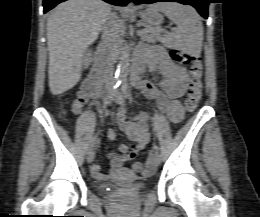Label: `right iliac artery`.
<instances>
[{
	"instance_id": "right-iliac-artery-1",
	"label": "right iliac artery",
	"mask_w": 260,
	"mask_h": 217,
	"mask_svg": "<svg viewBox=\"0 0 260 217\" xmlns=\"http://www.w3.org/2000/svg\"><path fill=\"white\" fill-rule=\"evenodd\" d=\"M121 82L118 81L117 83H115V85L113 86V88L110 90L109 94L105 97L104 100V108L108 105L111 104L113 98H114V94L116 92V90L118 89V87L120 86ZM97 137L94 136L91 141H90V147H93L96 143Z\"/></svg>"
}]
</instances>
